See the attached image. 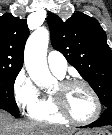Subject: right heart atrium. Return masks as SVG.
I'll list each match as a JSON object with an SVG mask.
<instances>
[{"mask_svg":"<svg viewBox=\"0 0 112 135\" xmlns=\"http://www.w3.org/2000/svg\"><path fill=\"white\" fill-rule=\"evenodd\" d=\"M13 95L19 109L29 114L43 101L42 93L25 71H20L16 76L13 83Z\"/></svg>","mask_w":112,"mask_h":135,"instance_id":"obj_1","label":"right heart atrium"}]
</instances>
